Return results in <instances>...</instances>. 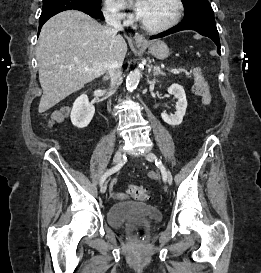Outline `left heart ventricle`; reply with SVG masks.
<instances>
[{"label":"left heart ventricle","instance_id":"1","mask_svg":"<svg viewBox=\"0 0 261 273\" xmlns=\"http://www.w3.org/2000/svg\"><path fill=\"white\" fill-rule=\"evenodd\" d=\"M175 11L173 0H146L140 20L150 26H160L169 22Z\"/></svg>","mask_w":261,"mask_h":273}]
</instances>
